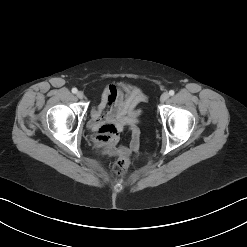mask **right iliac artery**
Wrapping results in <instances>:
<instances>
[{"label": "right iliac artery", "mask_w": 247, "mask_h": 247, "mask_svg": "<svg viewBox=\"0 0 247 247\" xmlns=\"http://www.w3.org/2000/svg\"><path fill=\"white\" fill-rule=\"evenodd\" d=\"M77 91H78V90H77L76 88H73V89H72V93H74V94L77 93Z\"/></svg>", "instance_id": "82829eb1"}]
</instances>
